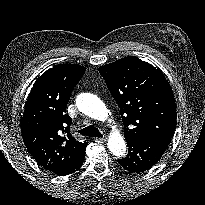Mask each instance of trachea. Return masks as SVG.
<instances>
[{
    "label": "trachea",
    "mask_w": 205,
    "mask_h": 205,
    "mask_svg": "<svg viewBox=\"0 0 205 205\" xmlns=\"http://www.w3.org/2000/svg\"><path fill=\"white\" fill-rule=\"evenodd\" d=\"M78 132L80 134H83L89 137H101L102 136L99 130L93 126L86 127L84 129L79 130Z\"/></svg>",
    "instance_id": "trachea-1"
}]
</instances>
